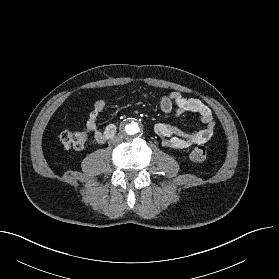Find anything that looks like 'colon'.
<instances>
[{
    "mask_svg": "<svg viewBox=\"0 0 279 279\" xmlns=\"http://www.w3.org/2000/svg\"><path fill=\"white\" fill-rule=\"evenodd\" d=\"M60 142L66 149L81 150L89 144V131L87 129L70 131L65 130L60 134ZM191 159L196 162H203L207 158V148L197 146L191 152Z\"/></svg>",
    "mask_w": 279,
    "mask_h": 279,
    "instance_id": "obj_1",
    "label": "colon"
}]
</instances>
